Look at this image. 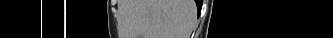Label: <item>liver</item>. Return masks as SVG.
Wrapping results in <instances>:
<instances>
[{
	"instance_id": "liver-1",
	"label": "liver",
	"mask_w": 333,
	"mask_h": 38,
	"mask_svg": "<svg viewBox=\"0 0 333 38\" xmlns=\"http://www.w3.org/2000/svg\"><path fill=\"white\" fill-rule=\"evenodd\" d=\"M139 38H189L194 19L193 0H137Z\"/></svg>"
}]
</instances>
